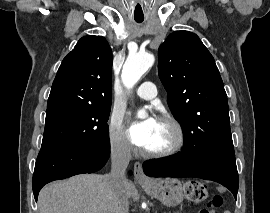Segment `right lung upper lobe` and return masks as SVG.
Listing matches in <instances>:
<instances>
[{"label": "right lung upper lobe", "mask_w": 270, "mask_h": 213, "mask_svg": "<svg viewBox=\"0 0 270 213\" xmlns=\"http://www.w3.org/2000/svg\"><path fill=\"white\" fill-rule=\"evenodd\" d=\"M112 51L102 36L82 37L63 59L47 108L59 105L111 106Z\"/></svg>", "instance_id": "right-lung-upper-lobe-1"}]
</instances>
